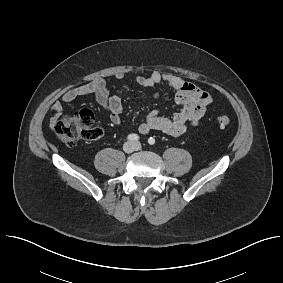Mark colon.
I'll use <instances>...</instances> for the list:
<instances>
[{
	"instance_id": "obj_1",
	"label": "colon",
	"mask_w": 283,
	"mask_h": 283,
	"mask_svg": "<svg viewBox=\"0 0 283 283\" xmlns=\"http://www.w3.org/2000/svg\"><path fill=\"white\" fill-rule=\"evenodd\" d=\"M216 121L223 127L231 122L227 115H219ZM54 129L58 139L67 146H74L80 139L95 140L102 135V130L94 124V115L89 110L59 118Z\"/></svg>"
}]
</instances>
